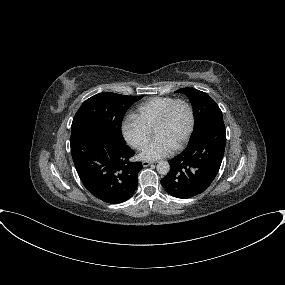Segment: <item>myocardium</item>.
Returning a JSON list of instances; mask_svg holds the SVG:
<instances>
[{
  "label": "myocardium",
  "mask_w": 285,
  "mask_h": 285,
  "mask_svg": "<svg viewBox=\"0 0 285 285\" xmlns=\"http://www.w3.org/2000/svg\"><path fill=\"white\" fill-rule=\"evenodd\" d=\"M177 104H183L188 109V112H189L188 130H187L183 140L178 145H176L174 147L175 150H180L188 143V141L191 138V135L193 133L194 126H195L194 109H193L192 105L187 100H185L183 98H176L169 105H167V107L163 110V112L159 116L158 120L156 121L155 126L153 128V132H155L156 129H158L160 126H162L167 121V119L169 118L173 108Z\"/></svg>",
  "instance_id": "obj_1"
}]
</instances>
